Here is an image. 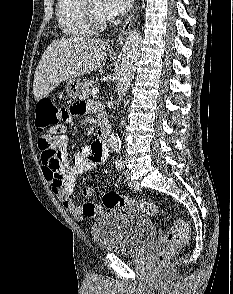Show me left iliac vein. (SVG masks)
Listing matches in <instances>:
<instances>
[{
	"instance_id": "left-iliac-vein-1",
	"label": "left iliac vein",
	"mask_w": 233,
	"mask_h": 294,
	"mask_svg": "<svg viewBox=\"0 0 233 294\" xmlns=\"http://www.w3.org/2000/svg\"><path fill=\"white\" fill-rule=\"evenodd\" d=\"M124 176L128 182V185L130 186L131 189H133L134 191H139L141 190V187L140 185L135 182V181H132L130 178H131V171L129 169H126L124 171Z\"/></svg>"
}]
</instances>
